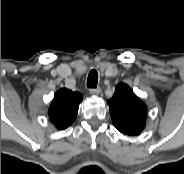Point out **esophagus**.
Masks as SVG:
<instances>
[{"instance_id":"obj_1","label":"esophagus","mask_w":184,"mask_h":174,"mask_svg":"<svg viewBox=\"0 0 184 174\" xmlns=\"http://www.w3.org/2000/svg\"><path fill=\"white\" fill-rule=\"evenodd\" d=\"M89 92H90V94H92V95H98V94L101 93V88H100V87L91 88V89L89 90Z\"/></svg>"}]
</instances>
